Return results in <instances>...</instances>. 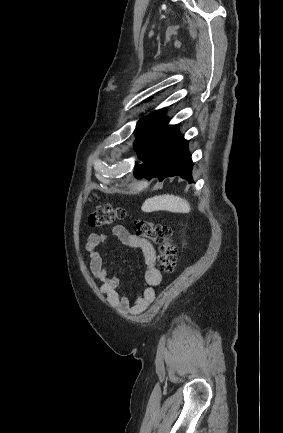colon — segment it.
<instances>
[{
    "instance_id": "1",
    "label": "colon",
    "mask_w": 283,
    "mask_h": 433,
    "mask_svg": "<svg viewBox=\"0 0 283 433\" xmlns=\"http://www.w3.org/2000/svg\"><path fill=\"white\" fill-rule=\"evenodd\" d=\"M126 217L127 212L124 208L108 204L91 211L87 216V222L91 227L104 228ZM133 223L138 237L149 239L158 245L161 271L173 273L177 267L178 257L171 227L143 219H134Z\"/></svg>"
}]
</instances>
